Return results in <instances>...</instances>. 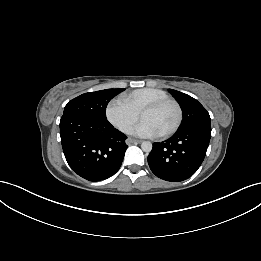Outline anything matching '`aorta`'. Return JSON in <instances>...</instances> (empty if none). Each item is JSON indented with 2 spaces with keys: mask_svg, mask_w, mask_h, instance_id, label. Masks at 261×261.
Masks as SVG:
<instances>
[{
  "mask_svg": "<svg viewBox=\"0 0 261 261\" xmlns=\"http://www.w3.org/2000/svg\"><path fill=\"white\" fill-rule=\"evenodd\" d=\"M141 149L146 153L150 152L152 150V143L149 141L142 142Z\"/></svg>",
  "mask_w": 261,
  "mask_h": 261,
  "instance_id": "762f6f07",
  "label": "aorta"
}]
</instances>
